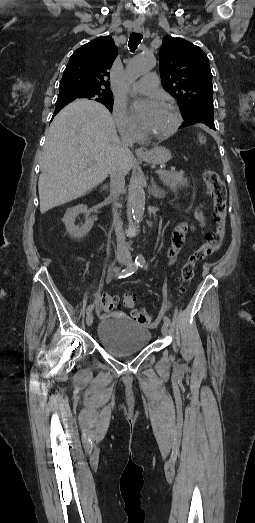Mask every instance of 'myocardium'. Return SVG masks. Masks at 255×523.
Wrapping results in <instances>:
<instances>
[{"label":"myocardium","instance_id":"obj_1","mask_svg":"<svg viewBox=\"0 0 255 523\" xmlns=\"http://www.w3.org/2000/svg\"><path fill=\"white\" fill-rule=\"evenodd\" d=\"M159 105H167V106L171 107L174 110V112H175V122H174V125H173L172 129L169 132H167V133H165V134H163V135H161L159 137H156V138H148L144 134L140 133L139 139H141L144 142H158V141H162V140L168 139L171 136H173L174 134H176V132L179 130V128H180V126L182 124V115L180 113V110L173 102L161 101L159 103Z\"/></svg>","mask_w":255,"mask_h":523}]
</instances>
